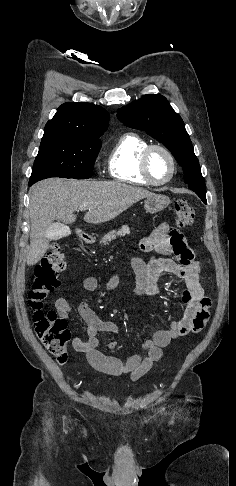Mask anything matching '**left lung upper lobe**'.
<instances>
[{"mask_svg":"<svg viewBox=\"0 0 236 486\" xmlns=\"http://www.w3.org/2000/svg\"><path fill=\"white\" fill-rule=\"evenodd\" d=\"M118 119L126 126L144 130L160 141L183 167L184 181L201 200L206 201V186L193 145L182 118L165 97L147 94L118 110Z\"/></svg>","mask_w":236,"mask_h":486,"instance_id":"5c2ea615","label":"left lung upper lobe"}]
</instances>
